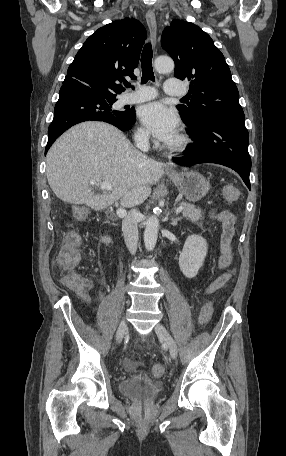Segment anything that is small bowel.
Returning a JSON list of instances; mask_svg holds the SVG:
<instances>
[{
	"mask_svg": "<svg viewBox=\"0 0 286 456\" xmlns=\"http://www.w3.org/2000/svg\"><path fill=\"white\" fill-rule=\"evenodd\" d=\"M210 217L221 226L220 255L217 264L219 268L225 269L231 265L233 260L231 242L234 235L235 218L231 212L218 207L211 210ZM230 278V273H223L211 284L210 290L221 287ZM76 296L84 304L90 303V294L87 291H76Z\"/></svg>",
	"mask_w": 286,
	"mask_h": 456,
	"instance_id": "small-bowel-1",
	"label": "small bowel"
}]
</instances>
